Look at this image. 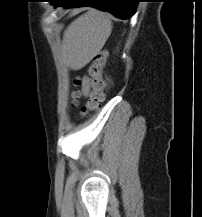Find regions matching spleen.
I'll use <instances>...</instances> for the list:
<instances>
[{"mask_svg": "<svg viewBox=\"0 0 202 217\" xmlns=\"http://www.w3.org/2000/svg\"><path fill=\"white\" fill-rule=\"evenodd\" d=\"M111 30L109 17L98 10H92L67 27L63 47L73 59L91 57L104 46Z\"/></svg>", "mask_w": 202, "mask_h": 217, "instance_id": "1", "label": "spleen"}]
</instances>
